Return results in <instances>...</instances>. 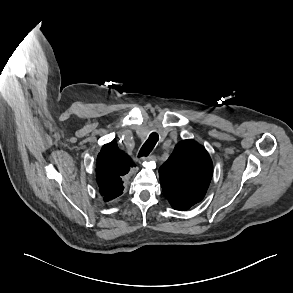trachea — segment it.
I'll list each match as a JSON object with an SVG mask.
<instances>
[{"mask_svg":"<svg viewBox=\"0 0 293 293\" xmlns=\"http://www.w3.org/2000/svg\"><path fill=\"white\" fill-rule=\"evenodd\" d=\"M159 140V136L157 133L153 132L150 134L147 141L141 147L138 157H147L149 153L153 150L154 146L156 145L157 141Z\"/></svg>","mask_w":293,"mask_h":293,"instance_id":"trachea-1","label":"trachea"}]
</instances>
